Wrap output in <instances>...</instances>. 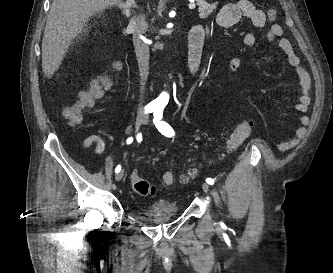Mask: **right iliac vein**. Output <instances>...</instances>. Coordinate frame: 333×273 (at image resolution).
I'll return each mask as SVG.
<instances>
[{"label": "right iliac vein", "instance_id": "63e3f726", "mask_svg": "<svg viewBox=\"0 0 333 273\" xmlns=\"http://www.w3.org/2000/svg\"><path fill=\"white\" fill-rule=\"evenodd\" d=\"M144 117H145L144 113H142V112L138 113L137 118H136V123H135V129H136V131L138 130V128H139L142 120L144 119ZM123 176H124V171L121 170L120 172L117 173V175L115 177V180L117 182H119V181L122 180Z\"/></svg>", "mask_w": 333, "mask_h": 273}]
</instances>
